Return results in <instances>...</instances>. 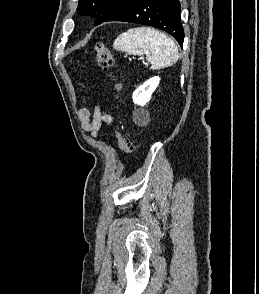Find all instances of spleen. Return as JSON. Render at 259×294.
Instances as JSON below:
<instances>
[{
    "mask_svg": "<svg viewBox=\"0 0 259 294\" xmlns=\"http://www.w3.org/2000/svg\"><path fill=\"white\" fill-rule=\"evenodd\" d=\"M113 48L132 55H146L152 70L172 66L179 59L174 41L149 27L132 28L121 33L115 39Z\"/></svg>",
    "mask_w": 259,
    "mask_h": 294,
    "instance_id": "1",
    "label": "spleen"
}]
</instances>
